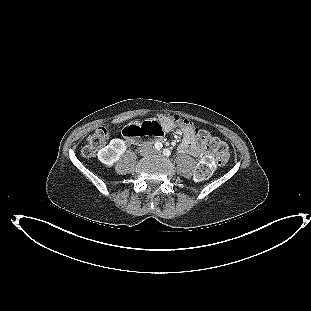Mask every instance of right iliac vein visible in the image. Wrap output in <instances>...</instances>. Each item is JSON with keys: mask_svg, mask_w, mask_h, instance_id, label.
<instances>
[{"mask_svg": "<svg viewBox=\"0 0 311 311\" xmlns=\"http://www.w3.org/2000/svg\"><path fill=\"white\" fill-rule=\"evenodd\" d=\"M141 153H142V154H146V153H147V150H142Z\"/></svg>", "mask_w": 311, "mask_h": 311, "instance_id": "obj_1", "label": "right iliac vein"}]
</instances>
